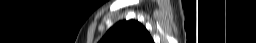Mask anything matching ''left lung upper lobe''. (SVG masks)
Returning <instances> with one entry per match:
<instances>
[{
  "instance_id": "5c2ea615",
  "label": "left lung upper lobe",
  "mask_w": 256,
  "mask_h": 43,
  "mask_svg": "<svg viewBox=\"0 0 256 43\" xmlns=\"http://www.w3.org/2000/svg\"><path fill=\"white\" fill-rule=\"evenodd\" d=\"M100 43H154V41L141 23L135 20H123L110 28Z\"/></svg>"
}]
</instances>
